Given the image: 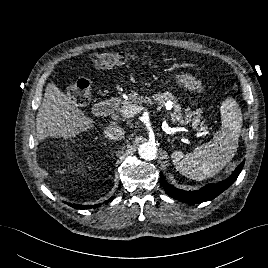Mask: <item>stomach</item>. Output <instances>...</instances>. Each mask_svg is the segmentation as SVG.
<instances>
[{
    "instance_id": "stomach-1",
    "label": "stomach",
    "mask_w": 268,
    "mask_h": 268,
    "mask_svg": "<svg viewBox=\"0 0 268 268\" xmlns=\"http://www.w3.org/2000/svg\"><path fill=\"white\" fill-rule=\"evenodd\" d=\"M176 84L182 86L189 91L201 93L203 91V86L200 80H197L194 76L189 73L180 72L173 76Z\"/></svg>"
}]
</instances>
